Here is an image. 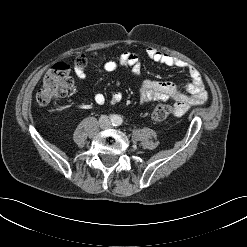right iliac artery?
Instances as JSON below:
<instances>
[{"label": "right iliac artery", "mask_w": 247, "mask_h": 247, "mask_svg": "<svg viewBox=\"0 0 247 247\" xmlns=\"http://www.w3.org/2000/svg\"><path fill=\"white\" fill-rule=\"evenodd\" d=\"M110 119L113 121L114 120V116H110Z\"/></svg>", "instance_id": "82829eb1"}]
</instances>
